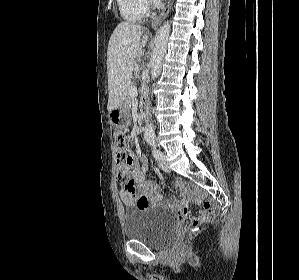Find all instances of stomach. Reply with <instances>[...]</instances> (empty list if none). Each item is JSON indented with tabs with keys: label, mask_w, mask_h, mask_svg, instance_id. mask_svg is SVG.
Here are the masks:
<instances>
[{
	"label": "stomach",
	"mask_w": 299,
	"mask_h": 280,
	"mask_svg": "<svg viewBox=\"0 0 299 280\" xmlns=\"http://www.w3.org/2000/svg\"><path fill=\"white\" fill-rule=\"evenodd\" d=\"M109 119L113 126L118 129L126 128L130 125L129 104L123 102L120 106L109 112Z\"/></svg>",
	"instance_id": "0dacf381"
}]
</instances>
